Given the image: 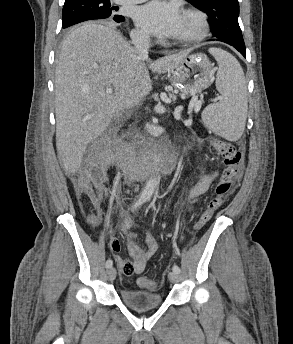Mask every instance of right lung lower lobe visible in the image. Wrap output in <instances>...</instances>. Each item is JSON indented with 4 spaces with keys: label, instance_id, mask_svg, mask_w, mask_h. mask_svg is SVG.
I'll list each match as a JSON object with an SVG mask.
<instances>
[{
    "label": "right lung lower lobe",
    "instance_id": "1",
    "mask_svg": "<svg viewBox=\"0 0 293 344\" xmlns=\"http://www.w3.org/2000/svg\"><path fill=\"white\" fill-rule=\"evenodd\" d=\"M125 20V18L123 16L119 17V18H114V19H109V21H115L117 23H121Z\"/></svg>",
    "mask_w": 293,
    "mask_h": 344
}]
</instances>
